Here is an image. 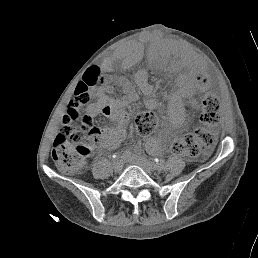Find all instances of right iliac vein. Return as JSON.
Segmentation results:
<instances>
[{
	"label": "right iliac vein",
	"instance_id": "right-iliac-vein-1",
	"mask_svg": "<svg viewBox=\"0 0 258 258\" xmlns=\"http://www.w3.org/2000/svg\"><path fill=\"white\" fill-rule=\"evenodd\" d=\"M123 168V161L121 160H114V163H113V169L116 171V172H119L121 171Z\"/></svg>",
	"mask_w": 258,
	"mask_h": 258
}]
</instances>
